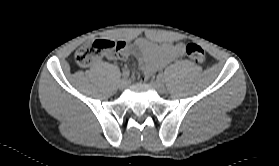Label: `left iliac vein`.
Segmentation results:
<instances>
[{
  "label": "left iliac vein",
  "instance_id": "left-iliac-vein-1",
  "mask_svg": "<svg viewBox=\"0 0 279 166\" xmlns=\"http://www.w3.org/2000/svg\"><path fill=\"white\" fill-rule=\"evenodd\" d=\"M152 86L156 89L160 94H164L166 92V88L161 80L152 81Z\"/></svg>",
  "mask_w": 279,
  "mask_h": 166
}]
</instances>
